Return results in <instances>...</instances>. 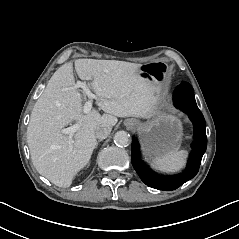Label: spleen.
I'll return each mask as SVG.
<instances>
[{
  "mask_svg": "<svg viewBox=\"0 0 239 239\" xmlns=\"http://www.w3.org/2000/svg\"><path fill=\"white\" fill-rule=\"evenodd\" d=\"M187 157L188 152L186 150L171 152L164 157L153 161V163H151V167L154 170L166 173H175L185 168Z\"/></svg>",
  "mask_w": 239,
  "mask_h": 239,
  "instance_id": "spleen-1",
  "label": "spleen"
}]
</instances>
